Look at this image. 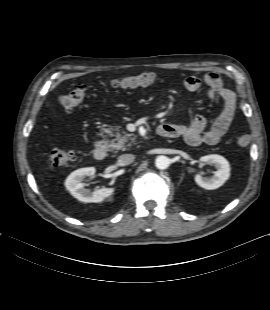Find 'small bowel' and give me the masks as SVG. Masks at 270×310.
Returning a JSON list of instances; mask_svg holds the SVG:
<instances>
[{
  "label": "small bowel",
  "mask_w": 270,
  "mask_h": 310,
  "mask_svg": "<svg viewBox=\"0 0 270 310\" xmlns=\"http://www.w3.org/2000/svg\"><path fill=\"white\" fill-rule=\"evenodd\" d=\"M208 88V96L211 100H222V111L213 124L206 129V119L197 115L186 125L166 123L161 128L166 131L169 138L181 137L190 146L200 144L215 145L227 133L231 126L236 110V97L232 90L224 86L220 75L216 72H208L203 78L188 76L183 80V86L188 91H196L202 85Z\"/></svg>",
  "instance_id": "small-bowel-1"
}]
</instances>
